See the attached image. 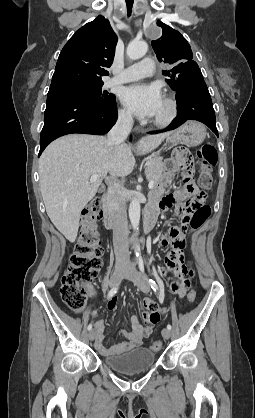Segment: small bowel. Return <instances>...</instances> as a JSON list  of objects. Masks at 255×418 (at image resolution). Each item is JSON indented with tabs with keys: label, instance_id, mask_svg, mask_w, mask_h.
Instances as JSON below:
<instances>
[{
	"label": "small bowel",
	"instance_id": "c3829d8e",
	"mask_svg": "<svg viewBox=\"0 0 255 418\" xmlns=\"http://www.w3.org/2000/svg\"><path fill=\"white\" fill-rule=\"evenodd\" d=\"M194 156L189 153L188 147H173L170 161L166 165L165 172L163 174L161 185L156 188L151 197L154 201L158 211H167L177 201H183L189 195L195 194L197 188L192 180L190 174H183L184 185L180 189L176 190L173 194L166 193L165 188L171 184L174 175L178 170H182L188 163H193ZM180 213L184 216L182 210ZM188 230L185 227H174L168 230V233L161 234L159 236V246L164 248L165 266L163 273H171L172 279L177 281L171 282V290L174 292L175 300H186L187 292L189 291L191 284V276L188 274L187 266L185 264V246L184 237H187ZM168 245V247H166ZM91 294L95 297V292L91 290ZM107 307L109 310H113L116 307V300L111 299ZM145 307V322L146 327H143L137 317L131 318V328L129 330H123L121 334L127 339L125 342L119 344H113L111 346H105L104 340V323L102 320L95 322V347L99 353L103 356H109L114 354H121L128 350H131L142 343L144 337L148 336L152 330V326L159 320H162L163 313L159 311L157 304L146 299L144 301ZM96 310L91 313L92 317H95Z\"/></svg>",
	"mask_w": 255,
	"mask_h": 418
}]
</instances>
